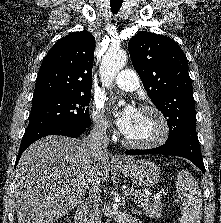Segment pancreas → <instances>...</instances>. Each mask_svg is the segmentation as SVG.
<instances>
[{"label":"pancreas","instance_id":"1","mask_svg":"<svg viewBox=\"0 0 221 223\" xmlns=\"http://www.w3.org/2000/svg\"><path fill=\"white\" fill-rule=\"evenodd\" d=\"M129 194H134L138 198V204L146 216L151 218L160 217L162 211V203L160 199H153L135 190L128 188Z\"/></svg>","mask_w":221,"mask_h":223}]
</instances>
